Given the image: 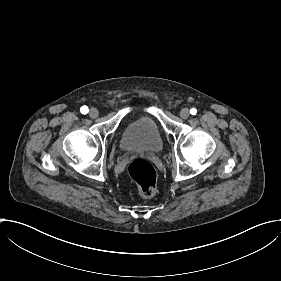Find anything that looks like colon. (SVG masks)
Segmentation results:
<instances>
[{
  "mask_svg": "<svg viewBox=\"0 0 281 281\" xmlns=\"http://www.w3.org/2000/svg\"><path fill=\"white\" fill-rule=\"evenodd\" d=\"M128 175L143 193L150 194L157 187L156 172L153 166L143 158H135L130 162Z\"/></svg>",
  "mask_w": 281,
  "mask_h": 281,
  "instance_id": "obj_1",
  "label": "colon"
}]
</instances>
